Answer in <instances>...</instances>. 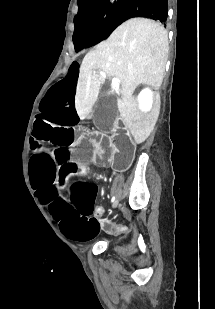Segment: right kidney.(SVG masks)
I'll use <instances>...</instances> for the list:
<instances>
[{"instance_id":"obj_1","label":"right kidney","mask_w":215,"mask_h":309,"mask_svg":"<svg viewBox=\"0 0 215 309\" xmlns=\"http://www.w3.org/2000/svg\"><path fill=\"white\" fill-rule=\"evenodd\" d=\"M139 106L141 110H150L153 104V92L149 88H144L138 96Z\"/></svg>"}]
</instances>
